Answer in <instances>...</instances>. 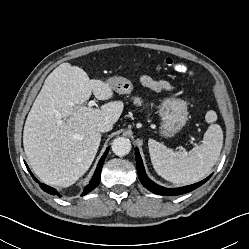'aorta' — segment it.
Wrapping results in <instances>:
<instances>
[{"label": "aorta", "mask_w": 249, "mask_h": 249, "mask_svg": "<svg viewBox=\"0 0 249 249\" xmlns=\"http://www.w3.org/2000/svg\"><path fill=\"white\" fill-rule=\"evenodd\" d=\"M112 151L117 156H125L131 150V142L128 138L117 137L112 142Z\"/></svg>", "instance_id": "aorta-1"}]
</instances>
